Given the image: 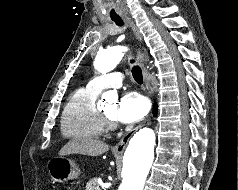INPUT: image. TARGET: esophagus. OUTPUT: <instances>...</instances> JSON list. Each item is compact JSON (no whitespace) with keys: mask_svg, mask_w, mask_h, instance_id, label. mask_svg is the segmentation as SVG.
Listing matches in <instances>:
<instances>
[{"mask_svg":"<svg viewBox=\"0 0 238 190\" xmlns=\"http://www.w3.org/2000/svg\"><path fill=\"white\" fill-rule=\"evenodd\" d=\"M126 23L128 24V26L132 29V31L134 32V35L136 37V39L141 42L142 41V36L140 31L138 30V28L136 27V25L134 24L133 21L126 19ZM139 65L141 67L142 73H143V79H144V83L145 85L150 89V80H149V74H148V70L145 67L144 63L139 59ZM151 114L142 122L140 123L138 126H136L133 130L129 131L126 135H124V137L114 146V150L118 153H122L130 138L133 136V134L140 129L141 127H143L146 123H148L151 119Z\"/></svg>","mask_w":238,"mask_h":190,"instance_id":"obj_1","label":"esophagus"}]
</instances>
